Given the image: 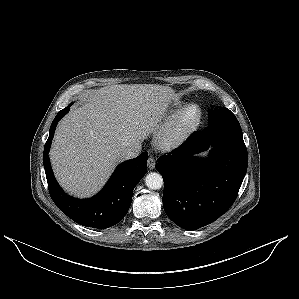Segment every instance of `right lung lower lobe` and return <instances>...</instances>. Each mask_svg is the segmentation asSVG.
<instances>
[{
    "label": "right lung lower lobe",
    "instance_id": "right-lung-lower-lobe-1",
    "mask_svg": "<svg viewBox=\"0 0 299 299\" xmlns=\"http://www.w3.org/2000/svg\"><path fill=\"white\" fill-rule=\"evenodd\" d=\"M71 105L54 118L44 146L43 164L48 189L57 207L73 221L94 229H106L119 223L129 210L133 189L146 173L148 155L143 152L137 158L120 164L104 188L94 197L81 200L68 196L55 180L48 152L57 123L68 113Z\"/></svg>",
    "mask_w": 299,
    "mask_h": 299
}]
</instances>
